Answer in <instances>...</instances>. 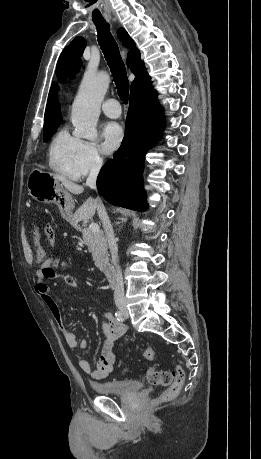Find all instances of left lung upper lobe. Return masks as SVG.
Masks as SVG:
<instances>
[{"label": "left lung upper lobe", "mask_w": 261, "mask_h": 459, "mask_svg": "<svg viewBox=\"0 0 261 459\" xmlns=\"http://www.w3.org/2000/svg\"><path fill=\"white\" fill-rule=\"evenodd\" d=\"M82 53L83 49L81 48L80 37H76L71 44L63 50L56 69L57 77L61 83L65 82L67 76L72 78L79 71L81 66L80 56Z\"/></svg>", "instance_id": "1"}]
</instances>
